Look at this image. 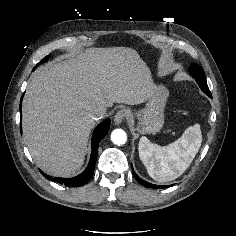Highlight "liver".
<instances>
[{"instance_id":"6515ba94","label":"liver","mask_w":236,"mask_h":236,"mask_svg":"<svg viewBox=\"0 0 236 236\" xmlns=\"http://www.w3.org/2000/svg\"><path fill=\"white\" fill-rule=\"evenodd\" d=\"M153 88L149 68L126 47L90 48L40 68L23 101L24 139L34 161L51 175L74 174L95 125L90 110L141 104Z\"/></svg>"}]
</instances>
